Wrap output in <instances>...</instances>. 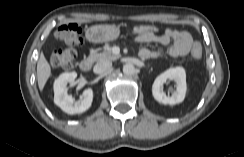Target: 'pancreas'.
I'll return each instance as SVG.
<instances>
[{
    "mask_svg": "<svg viewBox=\"0 0 244 157\" xmlns=\"http://www.w3.org/2000/svg\"><path fill=\"white\" fill-rule=\"evenodd\" d=\"M89 57L96 62H101V61H113L119 59L120 55L113 54L111 50H105L100 53L93 52L92 54H90Z\"/></svg>",
    "mask_w": 244,
    "mask_h": 157,
    "instance_id": "cf45deb5",
    "label": "pancreas"
}]
</instances>
